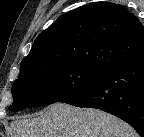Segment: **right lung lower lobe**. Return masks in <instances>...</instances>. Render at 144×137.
<instances>
[{
  "label": "right lung lower lobe",
  "instance_id": "right-lung-lower-lobe-1",
  "mask_svg": "<svg viewBox=\"0 0 144 137\" xmlns=\"http://www.w3.org/2000/svg\"><path fill=\"white\" fill-rule=\"evenodd\" d=\"M61 102L111 113L144 137V53L118 65Z\"/></svg>",
  "mask_w": 144,
  "mask_h": 137
}]
</instances>
